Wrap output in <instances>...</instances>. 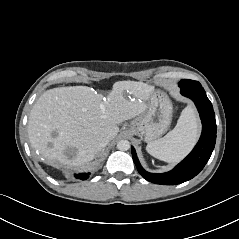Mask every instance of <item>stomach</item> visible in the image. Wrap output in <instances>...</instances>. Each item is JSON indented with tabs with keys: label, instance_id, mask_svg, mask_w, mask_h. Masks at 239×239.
Masks as SVG:
<instances>
[{
	"label": "stomach",
	"instance_id": "1",
	"mask_svg": "<svg viewBox=\"0 0 239 239\" xmlns=\"http://www.w3.org/2000/svg\"><path fill=\"white\" fill-rule=\"evenodd\" d=\"M172 103L162 91H154L147 102V109L135 118L129 131L146 142H152L162 136L172 120Z\"/></svg>",
	"mask_w": 239,
	"mask_h": 239
}]
</instances>
